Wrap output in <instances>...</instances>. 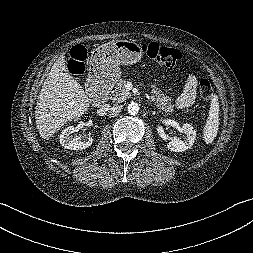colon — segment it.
Returning a JSON list of instances; mask_svg holds the SVG:
<instances>
[{
	"label": "colon",
	"mask_w": 253,
	"mask_h": 253,
	"mask_svg": "<svg viewBox=\"0 0 253 253\" xmlns=\"http://www.w3.org/2000/svg\"><path fill=\"white\" fill-rule=\"evenodd\" d=\"M147 56L161 65L172 67L181 58V53L157 43H150L145 46ZM87 58V49L83 45H75L70 51L68 70L75 77H80L84 72V61ZM199 91L204 99L211 98L213 94L211 83L207 79L199 81Z\"/></svg>",
	"instance_id": "1"
}]
</instances>
